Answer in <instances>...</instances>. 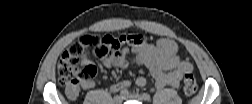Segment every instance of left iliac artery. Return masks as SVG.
I'll list each match as a JSON object with an SVG mask.
<instances>
[{"label": "left iliac artery", "mask_w": 252, "mask_h": 104, "mask_svg": "<svg viewBox=\"0 0 252 104\" xmlns=\"http://www.w3.org/2000/svg\"><path fill=\"white\" fill-rule=\"evenodd\" d=\"M142 97H143V99H144L145 101H149V100L151 99V97H150V95H149L148 93H144V94L142 95Z\"/></svg>", "instance_id": "left-iliac-artery-1"}]
</instances>
